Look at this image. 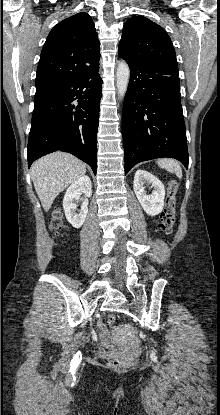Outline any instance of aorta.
I'll list each match as a JSON object with an SVG mask.
<instances>
[{
	"mask_svg": "<svg viewBox=\"0 0 220 415\" xmlns=\"http://www.w3.org/2000/svg\"><path fill=\"white\" fill-rule=\"evenodd\" d=\"M130 79V69L125 61H121L116 69V86L120 99H123L128 88Z\"/></svg>",
	"mask_w": 220,
	"mask_h": 415,
	"instance_id": "aorta-1",
	"label": "aorta"
}]
</instances>
